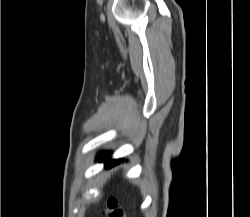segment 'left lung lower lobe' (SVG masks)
I'll return each mask as SVG.
<instances>
[{"label": "left lung lower lobe", "mask_w": 250, "mask_h": 217, "mask_svg": "<svg viewBox=\"0 0 250 217\" xmlns=\"http://www.w3.org/2000/svg\"><path fill=\"white\" fill-rule=\"evenodd\" d=\"M110 157V154L107 153V152H101L98 156V161H107ZM121 161V159L119 160H109L108 164H107V167H111V166H114L115 164H118L119 162Z\"/></svg>", "instance_id": "obj_1"}]
</instances>
